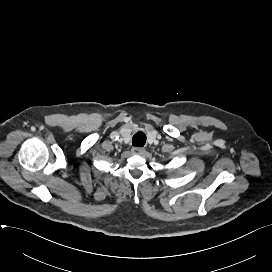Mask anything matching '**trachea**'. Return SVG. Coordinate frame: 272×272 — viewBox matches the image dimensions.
I'll use <instances>...</instances> for the list:
<instances>
[{
    "label": "trachea",
    "mask_w": 272,
    "mask_h": 272,
    "mask_svg": "<svg viewBox=\"0 0 272 272\" xmlns=\"http://www.w3.org/2000/svg\"><path fill=\"white\" fill-rule=\"evenodd\" d=\"M146 143V135L143 132L136 133L132 138V145L143 147Z\"/></svg>",
    "instance_id": "obj_1"
}]
</instances>
